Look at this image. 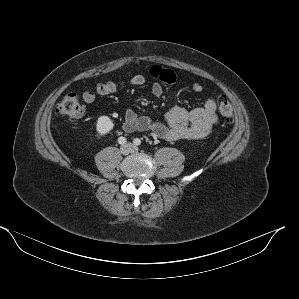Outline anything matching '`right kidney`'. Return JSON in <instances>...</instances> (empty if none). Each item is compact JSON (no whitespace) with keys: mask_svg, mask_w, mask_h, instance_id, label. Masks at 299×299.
I'll return each instance as SVG.
<instances>
[{"mask_svg":"<svg viewBox=\"0 0 299 299\" xmlns=\"http://www.w3.org/2000/svg\"><path fill=\"white\" fill-rule=\"evenodd\" d=\"M113 127H114V123L112 119H110L108 116L98 117L96 122L97 137L106 135L113 129Z\"/></svg>","mask_w":299,"mask_h":299,"instance_id":"1","label":"right kidney"}]
</instances>
